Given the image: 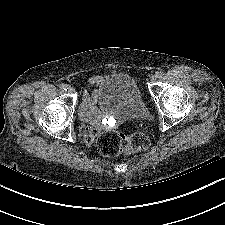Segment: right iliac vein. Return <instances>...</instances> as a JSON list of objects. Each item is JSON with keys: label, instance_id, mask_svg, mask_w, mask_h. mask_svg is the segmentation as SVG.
<instances>
[{"label": "right iliac vein", "instance_id": "63e3f726", "mask_svg": "<svg viewBox=\"0 0 225 225\" xmlns=\"http://www.w3.org/2000/svg\"><path fill=\"white\" fill-rule=\"evenodd\" d=\"M67 90H68V93L70 94H73L75 92L74 88L71 86H69Z\"/></svg>", "mask_w": 225, "mask_h": 225}]
</instances>
